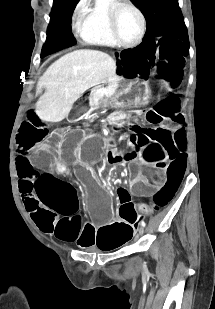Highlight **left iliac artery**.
Listing matches in <instances>:
<instances>
[{
    "instance_id": "obj_1",
    "label": "left iliac artery",
    "mask_w": 215,
    "mask_h": 309,
    "mask_svg": "<svg viewBox=\"0 0 215 309\" xmlns=\"http://www.w3.org/2000/svg\"><path fill=\"white\" fill-rule=\"evenodd\" d=\"M141 224L145 227L146 223L144 221H141Z\"/></svg>"
}]
</instances>
